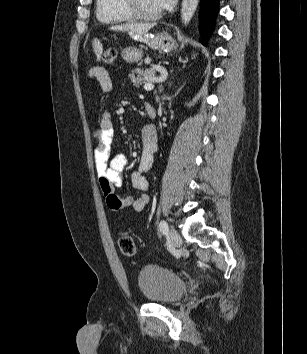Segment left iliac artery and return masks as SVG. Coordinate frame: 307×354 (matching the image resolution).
<instances>
[{
    "instance_id": "left-iliac-artery-1",
    "label": "left iliac artery",
    "mask_w": 307,
    "mask_h": 354,
    "mask_svg": "<svg viewBox=\"0 0 307 354\" xmlns=\"http://www.w3.org/2000/svg\"><path fill=\"white\" fill-rule=\"evenodd\" d=\"M159 229L164 234L168 233V224H167V222L164 221V220H161V222L159 224Z\"/></svg>"
}]
</instances>
